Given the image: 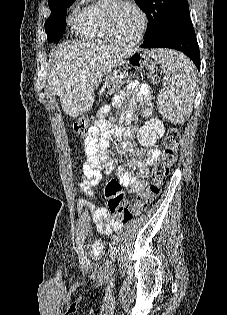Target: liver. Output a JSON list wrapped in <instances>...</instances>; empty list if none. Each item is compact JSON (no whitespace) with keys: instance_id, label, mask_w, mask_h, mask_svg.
Here are the masks:
<instances>
[{"instance_id":"6515ba94","label":"liver","mask_w":227,"mask_h":315,"mask_svg":"<svg viewBox=\"0 0 227 315\" xmlns=\"http://www.w3.org/2000/svg\"><path fill=\"white\" fill-rule=\"evenodd\" d=\"M126 55L106 44L71 43L54 48L47 83L51 94L60 97L64 113L75 118L89 111L103 76L123 64Z\"/></svg>"}]
</instances>
